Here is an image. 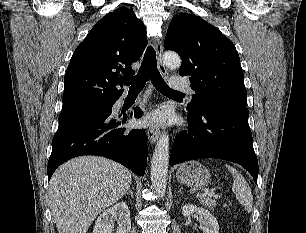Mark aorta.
Segmentation results:
<instances>
[{"label": "aorta", "mask_w": 306, "mask_h": 233, "mask_svg": "<svg viewBox=\"0 0 306 233\" xmlns=\"http://www.w3.org/2000/svg\"><path fill=\"white\" fill-rule=\"evenodd\" d=\"M163 62L171 69L181 65V59L175 52H165ZM169 165V137L166 132L159 138L151 161V182L153 190L163 196L167 186Z\"/></svg>", "instance_id": "762f6f07"}]
</instances>
